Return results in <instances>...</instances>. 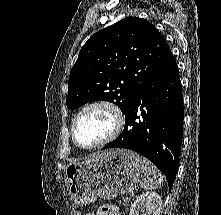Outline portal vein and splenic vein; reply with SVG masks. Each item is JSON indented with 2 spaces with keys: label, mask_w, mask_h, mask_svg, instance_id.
<instances>
[{
  "label": "portal vein and splenic vein",
  "mask_w": 221,
  "mask_h": 215,
  "mask_svg": "<svg viewBox=\"0 0 221 215\" xmlns=\"http://www.w3.org/2000/svg\"><path fill=\"white\" fill-rule=\"evenodd\" d=\"M131 196H134V192L131 193Z\"/></svg>",
  "instance_id": "obj_1"
}]
</instances>
